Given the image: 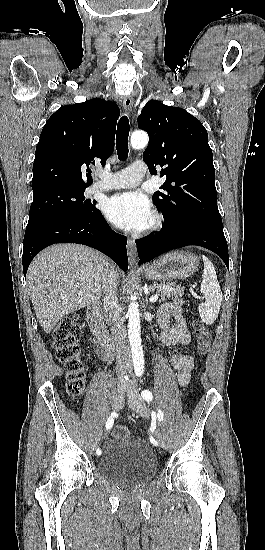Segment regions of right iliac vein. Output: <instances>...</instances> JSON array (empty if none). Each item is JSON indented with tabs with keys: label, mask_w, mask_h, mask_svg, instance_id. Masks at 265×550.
<instances>
[{
	"label": "right iliac vein",
	"mask_w": 265,
	"mask_h": 550,
	"mask_svg": "<svg viewBox=\"0 0 265 550\" xmlns=\"http://www.w3.org/2000/svg\"><path fill=\"white\" fill-rule=\"evenodd\" d=\"M125 392L126 390L123 387L118 388L113 398V403H112L113 411H118L123 407L124 401H125Z\"/></svg>",
	"instance_id": "right-iliac-vein-1"
}]
</instances>
